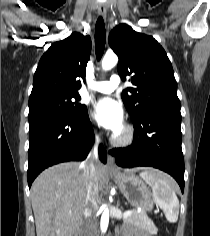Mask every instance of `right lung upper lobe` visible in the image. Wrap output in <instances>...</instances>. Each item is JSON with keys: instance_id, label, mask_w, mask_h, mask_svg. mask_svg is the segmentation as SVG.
Instances as JSON below:
<instances>
[{"instance_id": "right-lung-upper-lobe-1", "label": "right lung upper lobe", "mask_w": 210, "mask_h": 236, "mask_svg": "<svg viewBox=\"0 0 210 236\" xmlns=\"http://www.w3.org/2000/svg\"><path fill=\"white\" fill-rule=\"evenodd\" d=\"M90 52V37L77 32L53 43L39 61L29 101L49 92L79 95Z\"/></svg>"}]
</instances>
